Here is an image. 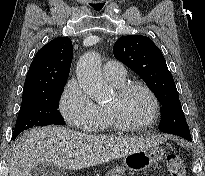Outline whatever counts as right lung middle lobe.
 Masks as SVG:
<instances>
[{
	"label": "right lung middle lobe",
	"mask_w": 205,
	"mask_h": 176,
	"mask_svg": "<svg viewBox=\"0 0 205 176\" xmlns=\"http://www.w3.org/2000/svg\"><path fill=\"white\" fill-rule=\"evenodd\" d=\"M64 85L23 96L12 139L31 127L64 125V120L57 110Z\"/></svg>",
	"instance_id": "1"
}]
</instances>
